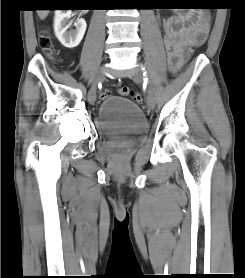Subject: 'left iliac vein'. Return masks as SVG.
<instances>
[{
    "label": "left iliac vein",
    "mask_w": 245,
    "mask_h": 278,
    "mask_svg": "<svg viewBox=\"0 0 245 278\" xmlns=\"http://www.w3.org/2000/svg\"><path fill=\"white\" fill-rule=\"evenodd\" d=\"M131 77L135 82H141L144 78L143 71L141 69L134 68L131 71ZM147 105L150 109H153L155 106V95L151 87L148 90Z\"/></svg>",
    "instance_id": "1"
}]
</instances>
